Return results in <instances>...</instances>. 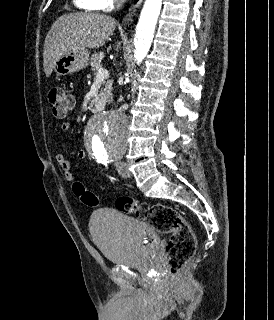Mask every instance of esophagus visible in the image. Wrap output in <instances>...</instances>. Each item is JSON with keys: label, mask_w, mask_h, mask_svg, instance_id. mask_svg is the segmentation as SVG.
Segmentation results:
<instances>
[{"label": "esophagus", "mask_w": 274, "mask_h": 320, "mask_svg": "<svg viewBox=\"0 0 274 320\" xmlns=\"http://www.w3.org/2000/svg\"><path fill=\"white\" fill-rule=\"evenodd\" d=\"M143 0H133L131 7H130V11L125 19V22H128L129 20L132 19L133 15L135 14V12L137 11V9L140 7L141 3Z\"/></svg>", "instance_id": "esophagus-1"}]
</instances>
